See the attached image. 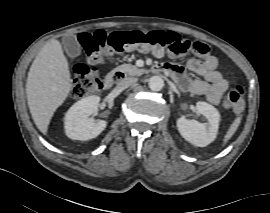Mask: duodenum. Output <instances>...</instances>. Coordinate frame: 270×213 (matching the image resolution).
<instances>
[{
  "label": "duodenum",
  "mask_w": 270,
  "mask_h": 213,
  "mask_svg": "<svg viewBox=\"0 0 270 213\" xmlns=\"http://www.w3.org/2000/svg\"><path fill=\"white\" fill-rule=\"evenodd\" d=\"M158 72H161L162 70L157 69ZM125 78V74L123 72L117 71L108 74L103 82L102 87L106 90L111 89L118 81L123 80Z\"/></svg>",
  "instance_id": "duodenum-1"
}]
</instances>
